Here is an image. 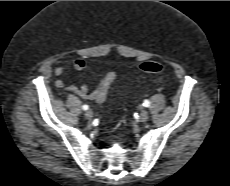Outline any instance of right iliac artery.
<instances>
[{"mask_svg": "<svg viewBox=\"0 0 230 186\" xmlns=\"http://www.w3.org/2000/svg\"><path fill=\"white\" fill-rule=\"evenodd\" d=\"M88 108H89L88 105H83V106H82V109H83V110H87Z\"/></svg>", "mask_w": 230, "mask_h": 186, "instance_id": "obj_1", "label": "right iliac artery"}]
</instances>
